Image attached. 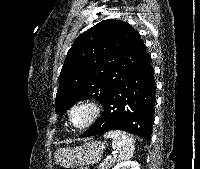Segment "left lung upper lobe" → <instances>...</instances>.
<instances>
[{
  "instance_id": "5c2ea615",
  "label": "left lung upper lobe",
  "mask_w": 200,
  "mask_h": 169,
  "mask_svg": "<svg viewBox=\"0 0 200 169\" xmlns=\"http://www.w3.org/2000/svg\"><path fill=\"white\" fill-rule=\"evenodd\" d=\"M146 53L140 35L127 22L108 19L85 31L73 43L62 67L56 113L63 114L81 99L102 103Z\"/></svg>"
}]
</instances>
